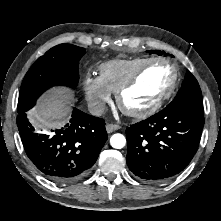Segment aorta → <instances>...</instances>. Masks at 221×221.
<instances>
[{
	"mask_svg": "<svg viewBox=\"0 0 221 221\" xmlns=\"http://www.w3.org/2000/svg\"><path fill=\"white\" fill-rule=\"evenodd\" d=\"M110 145L115 149H121L126 145V138L122 134L116 133L111 136Z\"/></svg>",
	"mask_w": 221,
	"mask_h": 221,
	"instance_id": "762f6f07",
	"label": "aorta"
}]
</instances>
